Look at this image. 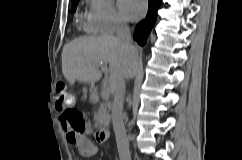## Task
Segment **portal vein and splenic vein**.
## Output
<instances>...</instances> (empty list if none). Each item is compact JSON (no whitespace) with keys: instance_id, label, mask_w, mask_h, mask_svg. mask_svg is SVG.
Listing matches in <instances>:
<instances>
[{"instance_id":"portal-vein-and-splenic-vein-1","label":"portal vein and splenic vein","mask_w":242,"mask_h":160,"mask_svg":"<svg viewBox=\"0 0 242 160\" xmlns=\"http://www.w3.org/2000/svg\"><path fill=\"white\" fill-rule=\"evenodd\" d=\"M98 67H101L102 70H105L106 67H104L103 65H99ZM110 87H105L101 94L104 98H108L109 97V94H110Z\"/></svg>"}]
</instances>
